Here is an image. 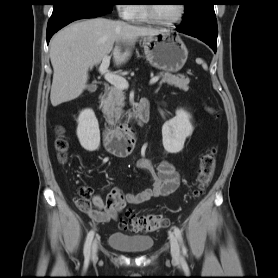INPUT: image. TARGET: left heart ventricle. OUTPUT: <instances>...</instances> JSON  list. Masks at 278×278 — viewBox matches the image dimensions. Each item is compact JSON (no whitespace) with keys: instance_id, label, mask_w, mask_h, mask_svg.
I'll list each match as a JSON object with an SVG mask.
<instances>
[{"instance_id":"1","label":"left heart ventricle","mask_w":278,"mask_h":278,"mask_svg":"<svg viewBox=\"0 0 278 278\" xmlns=\"http://www.w3.org/2000/svg\"><path fill=\"white\" fill-rule=\"evenodd\" d=\"M179 10V4H163L153 6L154 14L163 21H171L175 19L179 14Z\"/></svg>"}]
</instances>
